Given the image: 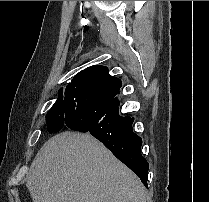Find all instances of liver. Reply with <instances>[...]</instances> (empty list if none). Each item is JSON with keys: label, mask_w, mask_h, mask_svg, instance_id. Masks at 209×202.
Wrapping results in <instances>:
<instances>
[{"label": "liver", "mask_w": 209, "mask_h": 202, "mask_svg": "<svg viewBox=\"0 0 209 202\" xmlns=\"http://www.w3.org/2000/svg\"><path fill=\"white\" fill-rule=\"evenodd\" d=\"M33 202H146L136 175L89 134L65 131L38 151L27 175Z\"/></svg>", "instance_id": "obj_1"}]
</instances>
